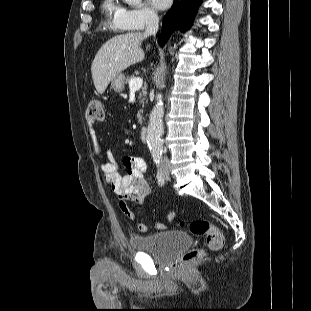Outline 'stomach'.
<instances>
[{
    "mask_svg": "<svg viewBox=\"0 0 311 311\" xmlns=\"http://www.w3.org/2000/svg\"><path fill=\"white\" fill-rule=\"evenodd\" d=\"M124 84L125 76L121 73L111 80V88L116 92H122L124 90Z\"/></svg>",
    "mask_w": 311,
    "mask_h": 311,
    "instance_id": "stomach-1",
    "label": "stomach"
}]
</instances>
